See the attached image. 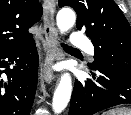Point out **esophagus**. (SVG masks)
Segmentation results:
<instances>
[{
    "label": "esophagus",
    "instance_id": "34e87169",
    "mask_svg": "<svg viewBox=\"0 0 131 115\" xmlns=\"http://www.w3.org/2000/svg\"><path fill=\"white\" fill-rule=\"evenodd\" d=\"M43 7V33L47 46L46 57L43 65V77L45 82L50 84L55 77L53 72L54 62L62 59L63 53L61 52L57 43L58 30L54 19L56 1L45 0Z\"/></svg>",
    "mask_w": 131,
    "mask_h": 115
}]
</instances>
